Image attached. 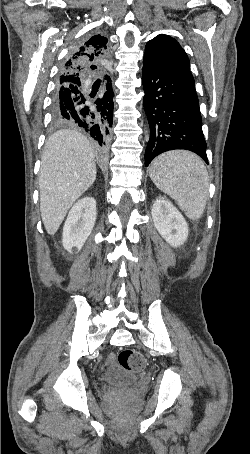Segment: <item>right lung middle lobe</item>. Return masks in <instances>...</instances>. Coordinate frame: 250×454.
<instances>
[{
	"mask_svg": "<svg viewBox=\"0 0 250 454\" xmlns=\"http://www.w3.org/2000/svg\"><path fill=\"white\" fill-rule=\"evenodd\" d=\"M53 120H54L55 124H61L60 121H59L58 119L53 118Z\"/></svg>",
	"mask_w": 250,
	"mask_h": 454,
	"instance_id": "right-lung-middle-lobe-1",
	"label": "right lung middle lobe"
}]
</instances>
